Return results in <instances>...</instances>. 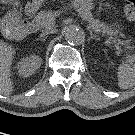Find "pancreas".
Wrapping results in <instances>:
<instances>
[{"label": "pancreas", "instance_id": "obj_1", "mask_svg": "<svg viewBox=\"0 0 135 135\" xmlns=\"http://www.w3.org/2000/svg\"><path fill=\"white\" fill-rule=\"evenodd\" d=\"M77 10L84 16L89 26L97 32H107L109 34H116V32L104 23H101L98 19H94L89 8H86L78 3L75 4ZM60 15L59 11H40L33 19V22L38 28L51 29L53 24H49V19L55 18Z\"/></svg>", "mask_w": 135, "mask_h": 135}]
</instances>
